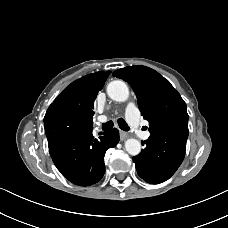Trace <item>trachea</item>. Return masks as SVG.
Masks as SVG:
<instances>
[{"instance_id": "obj_1", "label": "trachea", "mask_w": 228, "mask_h": 228, "mask_svg": "<svg viewBox=\"0 0 228 228\" xmlns=\"http://www.w3.org/2000/svg\"><path fill=\"white\" fill-rule=\"evenodd\" d=\"M117 123H118L120 129H122L124 131L129 130V127L123 118H119L117 120ZM113 125H114L113 121H108V122L102 124L101 129L103 131H109L112 129Z\"/></svg>"}]
</instances>
